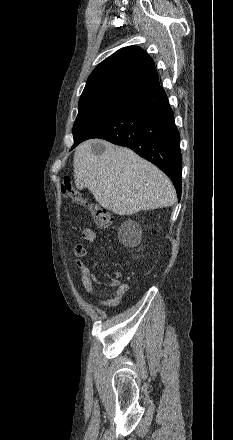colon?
Here are the masks:
<instances>
[{"label": "colon", "mask_w": 233, "mask_h": 440, "mask_svg": "<svg viewBox=\"0 0 233 440\" xmlns=\"http://www.w3.org/2000/svg\"><path fill=\"white\" fill-rule=\"evenodd\" d=\"M62 194L71 199L73 202L85 207L93 217L96 225L101 230H108L113 225V218L111 214L103 207L87 202L72 188L71 180L65 177L61 181Z\"/></svg>", "instance_id": "5ec220e1"}]
</instances>
